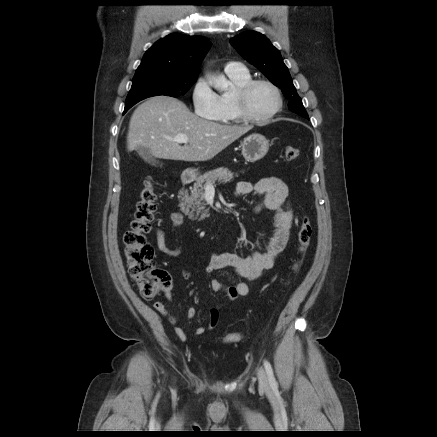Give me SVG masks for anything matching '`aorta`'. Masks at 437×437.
Listing matches in <instances>:
<instances>
[{"label": "aorta", "mask_w": 437, "mask_h": 437, "mask_svg": "<svg viewBox=\"0 0 437 437\" xmlns=\"http://www.w3.org/2000/svg\"><path fill=\"white\" fill-rule=\"evenodd\" d=\"M208 80L210 85H212L218 91H225L230 86V82L227 81L225 78L213 79L211 77H208Z\"/></svg>", "instance_id": "aorta-1"}]
</instances>
